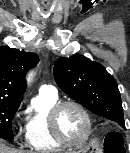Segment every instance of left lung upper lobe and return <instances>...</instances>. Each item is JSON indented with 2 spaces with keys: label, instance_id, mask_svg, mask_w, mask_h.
<instances>
[{
  "label": "left lung upper lobe",
  "instance_id": "5c2ea615",
  "mask_svg": "<svg viewBox=\"0 0 130 153\" xmlns=\"http://www.w3.org/2000/svg\"><path fill=\"white\" fill-rule=\"evenodd\" d=\"M54 77L72 99L125 128L117 82L103 65L83 55L63 57L54 65Z\"/></svg>",
  "mask_w": 130,
  "mask_h": 153
}]
</instances>
